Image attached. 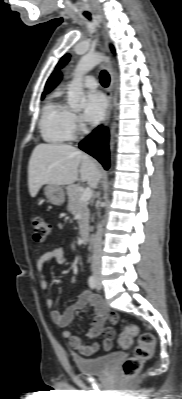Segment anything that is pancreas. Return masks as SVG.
Instances as JSON below:
<instances>
[{"instance_id": "pancreas-1", "label": "pancreas", "mask_w": 182, "mask_h": 399, "mask_svg": "<svg viewBox=\"0 0 182 399\" xmlns=\"http://www.w3.org/2000/svg\"><path fill=\"white\" fill-rule=\"evenodd\" d=\"M68 194V211L75 216V219L78 220L79 231L81 236L86 234L89 229V209L88 202L81 201V191L77 185H70L67 188Z\"/></svg>"}]
</instances>
